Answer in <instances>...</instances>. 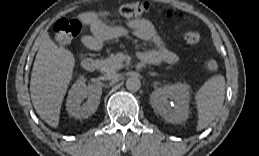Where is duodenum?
<instances>
[{"label":"duodenum","mask_w":259,"mask_h":156,"mask_svg":"<svg viewBox=\"0 0 259 156\" xmlns=\"http://www.w3.org/2000/svg\"><path fill=\"white\" fill-rule=\"evenodd\" d=\"M99 46L95 45L92 49H97ZM99 61L93 58H86L83 60L82 66L88 72H93L98 69Z\"/></svg>","instance_id":"duodenum-1"}]
</instances>
